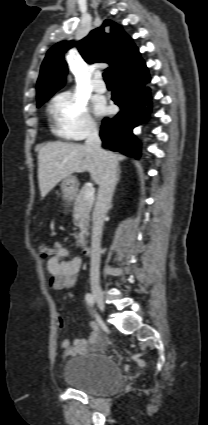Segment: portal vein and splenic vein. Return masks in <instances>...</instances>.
<instances>
[{
	"instance_id": "portal-vein-and-splenic-vein-1",
	"label": "portal vein and splenic vein",
	"mask_w": 208,
	"mask_h": 425,
	"mask_svg": "<svg viewBox=\"0 0 208 425\" xmlns=\"http://www.w3.org/2000/svg\"><path fill=\"white\" fill-rule=\"evenodd\" d=\"M94 193H95L94 187H92V186L88 187L87 190H86V192H85V198L87 200L93 199L94 198Z\"/></svg>"
}]
</instances>
